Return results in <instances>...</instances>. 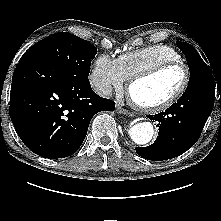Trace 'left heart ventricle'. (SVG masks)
<instances>
[{"label":"left heart ventricle","mask_w":221,"mask_h":221,"mask_svg":"<svg viewBox=\"0 0 221 221\" xmlns=\"http://www.w3.org/2000/svg\"><path fill=\"white\" fill-rule=\"evenodd\" d=\"M183 79V68L171 67L136 83L132 88V96L143 105H156L171 97L180 88Z\"/></svg>","instance_id":"1"}]
</instances>
